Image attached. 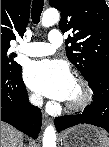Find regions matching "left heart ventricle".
Listing matches in <instances>:
<instances>
[{"instance_id": "obj_1", "label": "left heart ventricle", "mask_w": 109, "mask_h": 147, "mask_svg": "<svg viewBox=\"0 0 109 147\" xmlns=\"http://www.w3.org/2000/svg\"><path fill=\"white\" fill-rule=\"evenodd\" d=\"M82 88L78 82L75 80L72 81L71 89L67 98V102L75 103L82 98Z\"/></svg>"}]
</instances>
